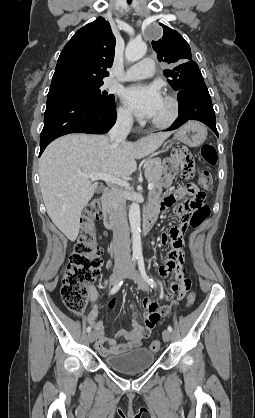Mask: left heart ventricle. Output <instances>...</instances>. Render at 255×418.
<instances>
[{
	"mask_svg": "<svg viewBox=\"0 0 255 418\" xmlns=\"http://www.w3.org/2000/svg\"><path fill=\"white\" fill-rule=\"evenodd\" d=\"M169 112H170V106L168 102L163 98L161 105L159 106L157 112L152 117V119H158V120L164 119L165 117L168 116Z\"/></svg>",
	"mask_w": 255,
	"mask_h": 418,
	"instance_id": "obj_1",
	"label": "left heart ventricle"
}]
</instances>
